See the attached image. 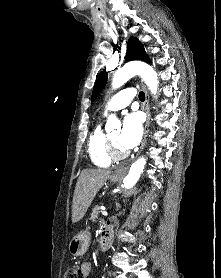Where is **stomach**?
Wrapping results in <instances>:
<instances>
[{
  "instance_id": "obj_1",
  "label": "stomach",
  "mask_w": 221,
  "mask_h": 278,
  "mask_svg": "<svg viewBox=\"0 0 221 278\" xmlns=\"http://www.w3.org/2000/svg\"><path fill=\"white\" fill-rule=\"evenodd\" d=\"M120 177L113 174L110 176V181L116 183L120 181ZM90 234L87 231H82L78 233L69 243V252L73 256L84 255L89 247Z\"/></svg>"
}]
</instances>
